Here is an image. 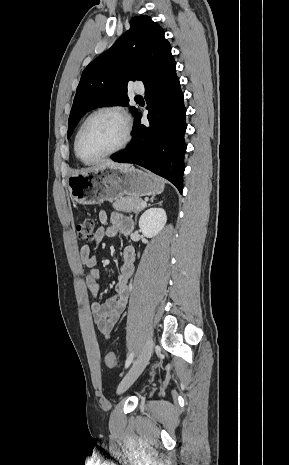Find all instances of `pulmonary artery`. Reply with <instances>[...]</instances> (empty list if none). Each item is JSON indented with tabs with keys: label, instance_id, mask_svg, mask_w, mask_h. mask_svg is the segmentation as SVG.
Listing matches in <instances>:
<instances>
[{
	"label": "pulmonary artery",
	"instance_id": "e3ab8cb5",
	"mask_svg": "<svg viewBox=\"0 0 289 465\" xmlns=\"http://www.w3.org/2000/svg\"><path fill=\"white\" fill-rule=\"evenodd\" d=\"M134 91L137 93H143L144 92V86L140 83L135 84L134 86Z\"/></svg>",
	"mask_w": 289,
	"mask_h": 465
}]
</instances>
